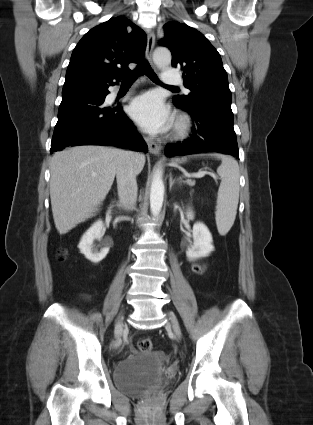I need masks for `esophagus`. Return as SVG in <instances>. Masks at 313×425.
I'll list each match as a JSON object with an SVG mask.
<instances>
[{
    "instance_id": "obj_1",
    "label": "esophagus",
    "mask_w": 313,
    "mask_h": 425,
    "mask_svg": "<svg viewBox=\"0 0 313 425\" xmlns=\"http://www.w3.org/2000/svg\"><path fill=\"white\" fill-rule=\"evenodd\" d=\"M155 45V35L151 30H148L147 35V46H146V58L152 63V52ZM145 142L148 145L149 152L155 155H159L161 152V146L157 144L152 138L145 136Z\"/></svg>"
}]
</instances>
